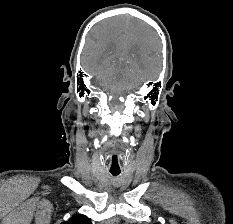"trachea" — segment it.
Masks as SVG:
<instances>
[{
	"label": "trachea",
	"mask_w": 233,
	"mask_h": 224,
	"mask_svg": "<svg viewBox=\"0 0 233 224\" xmlns=\"http://www.w3.org/2000/svg\"><path fill=\"white\" fill-rule=\"evenodd\" d=\"M111 174H112L113 176H118V175L120 174V172H111Z\"/></svg>",
	"instance_id": "trachea-1"
}]
</instances>
